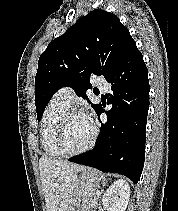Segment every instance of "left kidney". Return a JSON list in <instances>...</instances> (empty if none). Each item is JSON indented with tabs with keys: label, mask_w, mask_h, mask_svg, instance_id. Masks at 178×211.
<instances>
[{
	"label": "left kidney",
	"mask_w": 178,
	"mask_h": 211,
	"mask_svg": "<svg viewBox=\"0 0 178 211\" xmlns=\"http://www.w3.org/2000/svg\"><path fill=\"white\" fill-rule=\"evenodd\" d=\"M130 186L124 179L113 182L102 197V205L107 211H125L129 202Z\"/></svg>",
	"instance_id": "1"
}]
</instances>
